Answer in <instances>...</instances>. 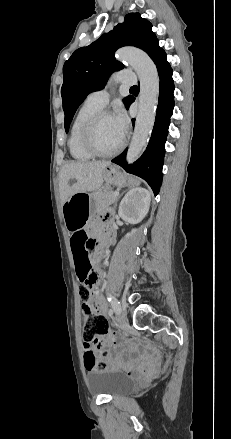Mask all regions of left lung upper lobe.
<instances>
[{
  "label": "left lung upper lobe",
  "instance_id": "5c2ea615",
  "mask_svg": "<svg viewBox=\"0 0 231 439\" xmlns=\"http://www.w3.org/2000/svg\"><path fill=\"white\" fill-rule=\"evenodd\" d=\"M135 46L153 59L162 48L152 32V25L139 13H129L123 23L103 34L90 45L79 48L65 62L61 96L65 112V130L68 132L72 118L86 96L104 88L109 76L124 68L115 60L114 52L122 46ZM130 96L124 99L125 105Z\"/></svg>",
  "mask_w": 231,
  "mask_h": 439
}]
</instances>
